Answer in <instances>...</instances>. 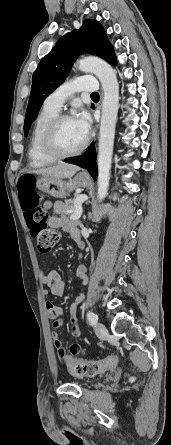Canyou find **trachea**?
I'll use <instances>...</instances> for the list:
<instances>
[{"label": "trachea", "instance_id": "trachea-1", "mask_svg": "<svg viewBox=\"0 0 171 445\" xmlns=\"http://www.w3.org/2000/svg\"><path fill=\"white\" fill-rule=\"evenodd\" d=\"M91 97H99V94L97 92H94L91 94Z\"/></svg>", "mask_w": 171, "mask_h": 445}]
</instances>
